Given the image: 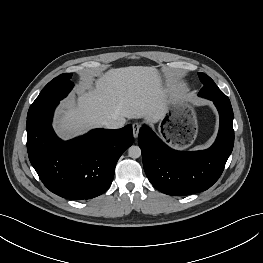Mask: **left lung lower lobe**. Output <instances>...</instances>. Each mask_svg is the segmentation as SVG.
I'll return each instance as SVG.
<instances>
[{
    "label": "left lung lower lobe",
    "mask_w": 263,
    "mask_h": 263,
    "mask_svg": "<svg viewBox=\"0 0 263 263\" xmlns=\"http://www.w3.org/2000/svg\"><path fill=\"white\" fill-rule=\"evenodd\" d=\"M210 100L218 109L220 127L215 143L207 150H173L149 127H141L138 143L144 170L157 190L175 196L199 193L210 188L222 174L234 145L233 110L230 101Z\"/></svg>",
    "instance_id": "left-lung-lower-lobe-1"
}]
</instances>
